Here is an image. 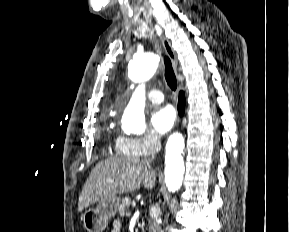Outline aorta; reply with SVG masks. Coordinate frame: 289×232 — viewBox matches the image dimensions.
Instances as JSON below:
<instances>
[{"mask_svg":"<svg viewBox=\"0 0 289 232\" xmlns=\"http://www.w3.org/2000/svg\"><path fill=\"white\" fill-rule=\"evenodd\" d=\"M159 66V57L154 53L136 55L129 65V77L132 81L141 83L132 95L127 105L122 123L126 132L143 134L145 124V86L156 72ZM184 137L181 133L172 134L166 144L165 153V184L169 192L180 189L184 176V160L182 152L184 149Z\"/></svg>","mask_w":289,"mask_h":232,"instance_id":"aorta-1","label":"aorta"}]
</instances>
